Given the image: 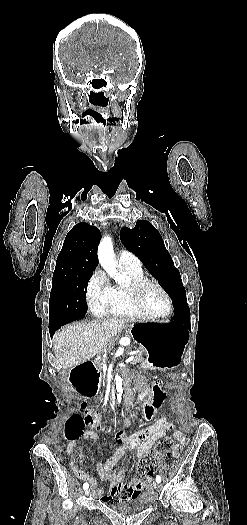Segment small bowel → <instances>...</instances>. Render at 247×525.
Returning a JSON list of instances; mask_svg holds the SVG:
<instances>
[{
  "label": "small bowel",
  "instance_id": "obj_1",
  "mask_svg": "<svg viewBox=\"0 0 247 525\" xmlns=\"http://www.w3.org/2000/svg\"><path fill=\"white\" fill-rule=\"evenodd\" d=\"M142 399H152L151 389L142 396ZM82 405H85V403H82ZM146 425L144 429L132 436H127L122 431L117 432L115 439L120 446L106 461H102L95 456L100 481L108 482L112 486L111 491L105 494L102 488L97 489L98 495L102 497L106 506H124L126 504V497H130L132 491L135 493V496L132 497V499H134L136 496L142 495V488L151 482V479L139 480L133 477L131 482L124 484L122 481L126 476L127 470L124 468L115 469L119 461L128 451H134L138 458L146 454L157 441L164 437L167 428L170 426L169 422L163 417L153 421L152 424ZM175 437L178 442H182V446L180 450H174L172 452L173 457L179 456L187 441L186 436L180 431L175 433ZM81 438L82 440H91L93 442H98L99 440L98 434L93 430L85 431ZM68 451L73 458L71 468L76 476L80 480L89 483L92 487H96V480L88 472L84 471L80 465L84 460L81 441L71 442Z\"/></svg>",
  "mask_w": 247,
  "mask_h": 525
}]
</instances>
